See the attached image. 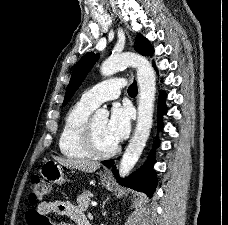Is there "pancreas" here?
Returning a JSON list of instances; mask_svg holds the SVG:
<instances>
[{"label":"pancreas","mask_w":228,"mask_h":225,"mask_svg":"<svg viewBox=\"0 0 228 225\" xmlns=\"http://www.w3.org/2000/svg\"><path fill=\"white\" fill-rule=\"evenodd\" d=\"M91 195L92 193H90V191H85V193H82V195L77 197V205L82 209V211H87Z\"/></svg>","instance_id":"1"}]
</instances>
